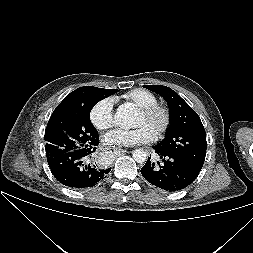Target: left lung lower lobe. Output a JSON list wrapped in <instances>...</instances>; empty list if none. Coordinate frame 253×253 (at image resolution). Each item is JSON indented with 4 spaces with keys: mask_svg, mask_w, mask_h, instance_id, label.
Returning <instances> with one entry per match:
<instances>
[{
    "mask_svg": "<svg viewBox=\"0 0 253 253\" xmlns=\"http://www.w3.org/2000/svg\"><path fill=\"white\" fill-rule=\"evenodd\" d=\"M161 159L157 163L148 158L141 168L142 176L152 185L168 192L178 191L190 185L198 176L199 170L176 156L160 151L154 146Z\"/></svg>",
    "mask_w": 253,
    "mask_h": 253,
    "instance_id": "0a47b994",
    "label": "left lung lower lobe"
}]
</instances>
